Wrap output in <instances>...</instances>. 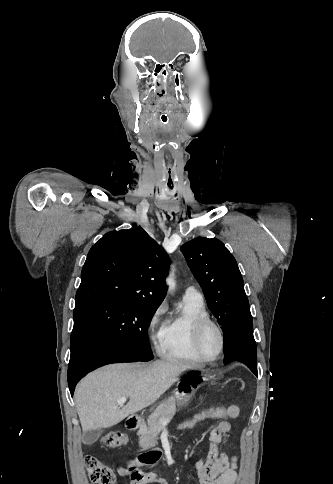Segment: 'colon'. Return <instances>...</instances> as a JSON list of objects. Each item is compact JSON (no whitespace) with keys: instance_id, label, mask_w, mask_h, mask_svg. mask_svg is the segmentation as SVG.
Masks as SVG:
<instances>
[{"instance_id":"5ec220e1","label":"colon","mask_w":333,"mask_h":484,"mask_svg":"<svg viewBox=\"0 0 333 484\" xmlns=\"http://www.w3.org/2000/svg\"><path fill=\"white\" fill-rule=\"evenodd\" d=\"M226 414V407H209L179 422L174 431L186 432L207 421L224 419ZM101 442L106 447L116 448L126 444L127 438L122 433L112 431L106 433ZM85 464L92 484H114L115 476L110 467L92 456L85 458Z\"/></svg>"}]
</instances>
